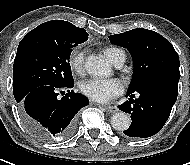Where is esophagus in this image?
<instances>
[{"label":"esophagus","mask_w":190,"mask_h":165,"mask_svg":"<svg viewBox=\"0 0 190 165\" xmlns=\"http://www.w3.org/2000/svg\"><path fill=\"white\" fill-rule=\"evenodd\" d=\"M107 112L109 113H115L118 111V109L115 107V106H107V105H104L102 106Z\"/></svg>","instance_id":"1"}]
</instances>
